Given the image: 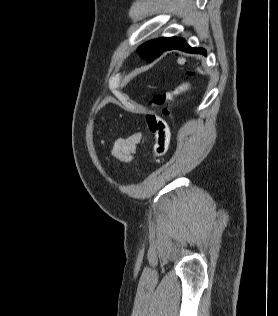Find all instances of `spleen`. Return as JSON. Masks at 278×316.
I'll list each match as a JSON object with an SVG mask.
<instances>
[{
	"label": "spleen",
	"mask_w": 278,
	"mask_h": 316,
	"mask_svg": "<svg viewBox=\"0 0 278 316\" xmlns=\"http://www.w3.org/2000/svg\"><path fill=\"white\" fill-rule=\"evenodd\" d=\"M185 62V59L184 58H179L178 59V63L179 64H183ZM197 71L201 74H203V71L200 69V68H197Z\"/></svg>",
	"instance_id": "1"
}]
</instances>
